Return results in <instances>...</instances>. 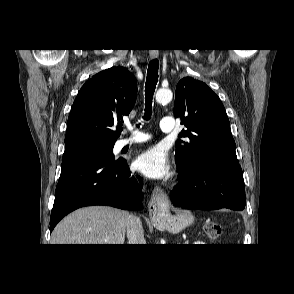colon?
<instances>
[{
    "instance_id": "colon-1",
    "label": "colon",
    "mask_w": 294,
    "mask_h": 294,
    "mask_svg": "<svg viewBox=\"0 0 294 294\" xmlns=\"http://www.w3.org/2000/svg\"><path fill=\"white\" fill-rule=\"evenodd\" d=\"M204 230L208 240L214 243L221 235L222 226L216 222H207L205 224Z\"/></svg>"
}]
</instances>
